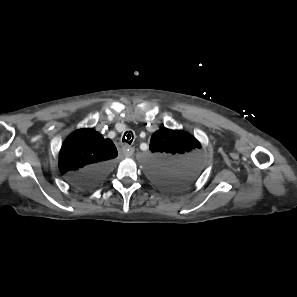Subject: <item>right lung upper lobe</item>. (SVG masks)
<instances>
[{
    "instance_id": "right-lung-upper-lobe-1",
    "label": "right lung upper lobe",
    "mask_w": 297,
    "mask_h": 297,
    "mask_svg": "<svg viewBox=\"0 0 297 297\" xmlns=\"http://www.w3.org/2000/svg\"><path fill=\"white\" fill-rule=\"evenodd\" d=\"M117 149L110 139H104L93 129L72 133L60 150L59 167L62 174L71 176L89 166L110 163Z\"/></svg>"
}]
</instances>
